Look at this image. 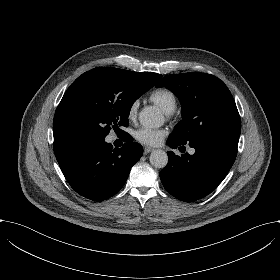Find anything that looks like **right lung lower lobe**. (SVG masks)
Returning a JSON list of instances; mask_svg holds the SVG:
<instances>
[{
    "label": "right lung lower lobe",
    "mask_w": 280,
    "mask_h": 280,
    "mask_svg": "<svg viewBox=\"0 0 280 280\" xmlns=\"http://www.w3.org/2000/svg\"><path fill=\"white\" fill-rule=\"evenodd\" d=\"M54 153L70 186L85 198L102 201L123 187L143 148L136 142L114 149L105 139H77L55 149Z\"/></svg>",
    "instance_id": "1"
}]
</instances>
